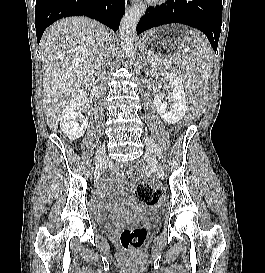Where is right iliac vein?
<instances>
[{
	"label": "right iliac vein",
	"instance_id": "1",
	"mask_svg": "<svg viewBox=\"0 0 265 273\" xmlns=\"http://www.w3.org/2000/svg\"><path fill=\"white\" fill-rule=\"evenodd\" d=\"M106 160V149L104 146L100 147L96 154V178H99L102 172V167Z\"/></svg>",
	"mask_w": 265,
	"mask_h": 273
}]
</instances>
